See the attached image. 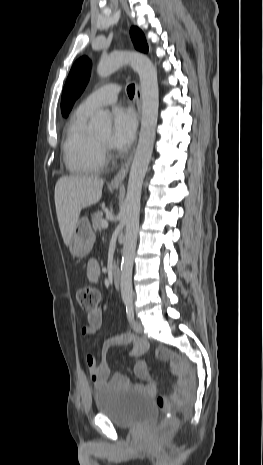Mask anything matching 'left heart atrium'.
<instances>
[{"label":"left heart atrium","instance_id":"1","mask_svg":"<svg viewBox=\"0 0 263 465\" xmlns=\"http://www.w3.org/2000/svg\"><path fill=\"white\" fill-rule=\"evenodd\" d=\"M137 121L134 113L126 108L117 107L113 111V129L109 143L116 149L126 148L133 140Z\"/></svg>","mask_w":263,"mask_h":465}]
</instances>
